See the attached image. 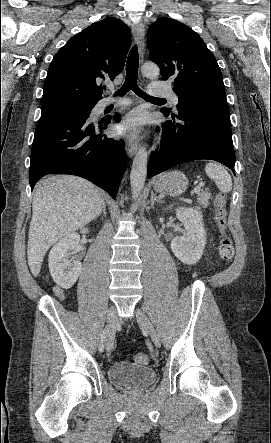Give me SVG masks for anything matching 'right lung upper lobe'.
<instances>
[{
    "label": "right lung upper lobe",
    "instance_id": "1",
    "mask_svg": "<svg viewBox=\"0 0 271 443\" xmlns=\"http://www.w3.org/2000/svg\"><path fill=\"white\" fill-rule=\"evenodd\" d=\"M130 44L129 27L113 17L73 36L50 63L42 103L71 100L96 104L103 93L98 81H113L123 70Z\"/></svg>",
    "mask_w": 271,
    "mask_h": 443
}]
</instances>
